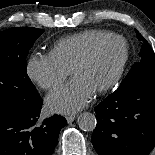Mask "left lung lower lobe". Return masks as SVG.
<instances>
[{"label": "left lung lower lobe", "mask_w": 155, "mask_h": 155, "mask_svg": "<svg viewBox=\"0 0 155 155\" xmlns=\"http://www.w3.org/2000/svg\"><path fill=\"white\" fill-rule=\"evenodd\" d=\"M99 155H148L155 146V73L118 88L95 107Z\"/></svg>", "instance_id": "0a47b994"}]
</instances>
